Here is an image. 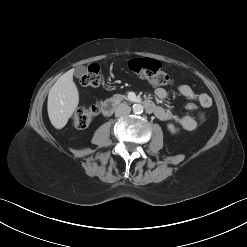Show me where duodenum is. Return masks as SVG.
Returning <instances> with one entry per match:
<instances>
[{"label":"duodenum","instance_id":"1","mask_svg":"<svg viewBox=\"0 0 247 247\" xmlns=\"http://www.w3.org/2000/svg\"><path fill=\"white\" fill-rule=\"evenodd\" d=\"M118 104H119L118 101L114 99H108L104 101L101 106L102 114L104 116H110L114 112ZM143 105L146 108V110L149 112H154L156 109V105L150 100L144 101Z\"/></svg>","mask_w":247,"mask_h":247}]
</instances>
